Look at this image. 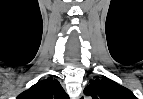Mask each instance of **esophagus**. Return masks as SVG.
<instances>
[{"label":"esophagus","mask_w":143,"mask_h":99,"mask_svg":"<svg viewBox=\"0 0 143 99\" xmlns=\"http://www.w3.org/2000/svg\"><path fill=\"white\" fill-rule=\"evenodd\" d=\"M84 98H85L84 94L83 93L80 94L79 99H84Z\"/></svg>","instance_id":"1"}]
</instances>
